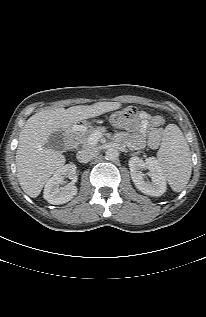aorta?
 Instances as JSON below:
<instances>
[{
  "mask_svg": "<svg viewBox=\"0 0 206 317\" xmlns=\"http://www.w3.org/2000/svg\"><path fill=\"white\" fill-rule=\"evenodd\" d=\"M119 156V152L117 149L115 148H109L106 152H105V158L107 160H110V161H114L118 158Z\"/></svg>",
  "mask_w": 206,
  "mask_h": 317,
  "instance_id": "762f6f07",
  "label": "aorta"
}]
</instances>
